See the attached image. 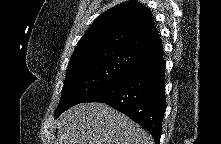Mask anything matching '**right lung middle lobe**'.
Instances as JSON below:
<instances>
[{"label": "right lung middle lobe", "instance_id": "obj_1", "mask_svg": "<svg viewBox=\"0 0 221 144\" xmlns=\"http://www.w3.org/2000/svg\"><path fill=\"white\" fill-rule=\"evenodd\" d=\"M142 57L126 51L111 50L69 63L55 117L84 102L91 94L120 77Z\"/></svg>", "mask_w": 221, "mask_h": 144}]
</instances>
